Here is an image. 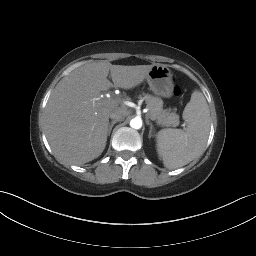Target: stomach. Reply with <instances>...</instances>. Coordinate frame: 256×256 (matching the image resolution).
<instances>
[{
    "mask_svg": "<svg viewBox=\"0 0 256 256\" xmlns=\"http://www.w3.org/2000/svg\"><path fill=\"white\" fill-rule=\"evenodd\" d=\"M146 80L150 90L158 96L169 98L173 94L174 84L169 68L163 64H155L149 71Z\"/></svg>",
    "mask_w": 256,
    "mask_h": 256,
    "instance_id": "1",
    "label": "stomach"
}]
</instances>
